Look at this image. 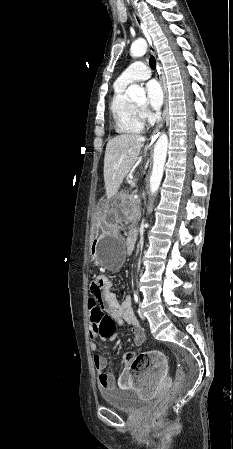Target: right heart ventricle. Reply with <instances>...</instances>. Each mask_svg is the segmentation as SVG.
Here are the masks:
<instances>
[{
	"instance_id": "right-heart-ventricle-1",
	"label": "right heart ventricle",
	"mask_w": 233,
	"mask_h": 449,
	"mask_svg": "<svg viewBox=\"0 0 233 449\" xmlns=\"http://www.w3.org/2000/svg\"><path fill=\"white\" fill-rule=\"evenodd\" d=\"M127 85L115 82L110 101V112L115 131L119 134H138L144 130L145 118L141 111L127 98Z\"/></svg>"
}]
</instances>
